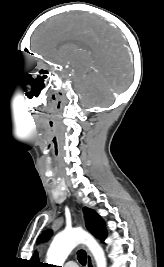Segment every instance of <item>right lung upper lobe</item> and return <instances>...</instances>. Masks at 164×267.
Instances as JSON below:
<instances>
[{
    "instance_id": "right-lung-upper-lobe-1",
    "label": "right lung upper lobe",
    "mask_w": 164,
    "mask_h": 267,
    "mask_svg": "<svg viewBox=\"0 0 164 267\" xmlns=\"http://www.w3.org/2000/svg\"><path fill=\"white\" fill-rule=\"evenodd\" d=\"M32 262L34 264H36V266H40V262H38V255H37V252L35 253V255L33 256L32 258Z\"/></svg>"
}]
</instances>
